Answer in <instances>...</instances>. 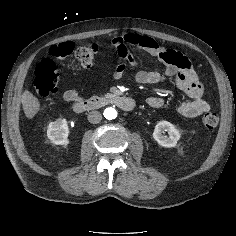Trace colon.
<instances>
[{
	"label": "colon",
	"mask_w": 236,
	"mask_h": 236,
	"mask_svg": "<svg viewBox=\"0 0 236 236\" xmlns=\"http://www.w3.org/2000/svg\"><path fill=\"white\" fill-rule=\"evenodd\" d=\"M75 51L76 58L81 65L89 67L98 52V47L94 44L81 46L75 50L72 42H63L53 45L49 49V54L55 59H64ZM59 87V73L51 59L42 60L36 67L35 79L33 83L34 92L39 97H46L57 92ZM219 117L214 112H207L202 117L203 125L208 129H213L218 125Z\"/></svg>",
	"instance_id": "colon-1"
}]
</instances>
